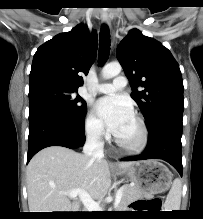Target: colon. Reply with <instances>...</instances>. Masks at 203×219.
<instances>
[{
	"label": "colon",
	"instance_id": "obj_1",
	"mask_svg": "<svg viewBox=\"0 0 203 219\" xmlns=\"http://www.w3.org/2000/svg\"><path fill=\"white\" fill-rule=\"evenodd\" d=\"M147 206L152 210H159L161 207V200L159 198H154L148 201Z\"/></svg>",
	"mask_w": 203,
	"mask_h": 219
}]
</instances>
